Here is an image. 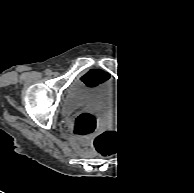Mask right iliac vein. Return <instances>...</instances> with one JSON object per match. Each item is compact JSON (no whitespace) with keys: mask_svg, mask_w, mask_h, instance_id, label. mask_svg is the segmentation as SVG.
Returning a JSON list of instances; mask_svg holds the SVG:
<instances>
[{"mask_svg":"<svg viewBox=\"0 0 194 193\" xmlns=\"http://www.w3.org/2000/svg\"><path fill=\"white\" fill-rule=\"evenodd\" d=\"M59 74L57 72L54 73V76H58Z\"/></svg>","mask_w":194,"mask_h":193,"instance_id":"right-iliac-vein-1","label":"right iliac vein"}]
</instances>
